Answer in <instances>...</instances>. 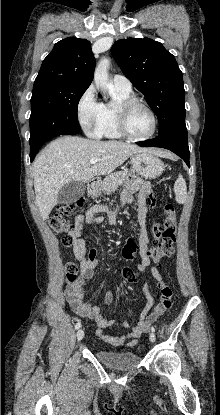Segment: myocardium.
<instances>
[{"label": "myocardium", "mask_w": 220, "mask_h": 415, "mask_svg": "<svg viewBox=\"0 0 220 415\" xmlns=\"http://www.w3.org/2000/svg\"><path fill=\"white\" fill-rule=\"evenodd\" d=\"M136 106L144 108L150 114L152 118V123H153L152 130L149 134L143 137H136V136L131 135L129 131L127 130V126H126L127 113L131 108L136 107ZM114 113H115V123H116L117 131L122 137L128 140L135 141V142L146 141L152 138L157 131L158 119H157L155 111L148 104H146L145 102L139 99L129 98V99L118 102L115 106Z\"/></svg>", "instance_id": "myocardium-1"}]
</instances>
